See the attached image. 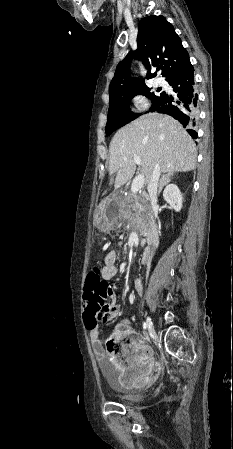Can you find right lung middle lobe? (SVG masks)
I'll return each instance as SVG.
<instances>
[{"instance_id":"right-lung-middle-lobe-1","label":"right lung middle lobe","mask_w":233,"mask_h":449,"mask_svg":"<svg viewBox=\"0 0 233 449\" xmlns=\"http://www.w3.org/2000/svg\"><path fill=\"white\" fill-rule=\"evenodd\" d=\"M138 94L145 95L146 97L151 99L152 102L151 111H152L153 109H155V107L161 100L162 96L164 95V92L160 94H155L154 92H150V88L144 86L131 92L120 94L110 98L109 103L110 106L108 109V120L106 124V136H109L116 129L133 121L140 115L131 112L129 108V103L131 99Z\"/></svg>"}]
</instances>
